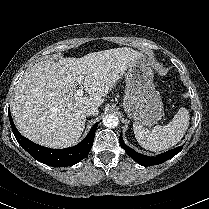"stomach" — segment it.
<instances>
[{
    "mask_svg": "<svg viewBox=\"0 0 209 209\" xmlns=\"http://www.w3.org/2000/svg\"><path fill=\"white\" fill-rule=\"evenodd\" d=\"M153 77L151 63L144 55L130 64L126 73L123 108L128 117L145 126L157 123L164 112Z\"/></svg>",
    "mask_w": 209,
    "mask_h": 209,
    "instance_id": "0dacf381",
    "label": "stomach"
}]
</instances>
